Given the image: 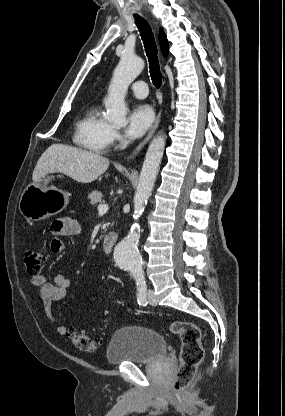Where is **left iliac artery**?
Segmentation results:
<instances>
[{"mask_svg": "<svg viewBox=\"0 0 285 416\" xmlns=\"http://www.w3.org/2000/svg\"><path fill=\"white\" fill-rule=\"evenodd\" d=\"M137 284V301L138 304L141 306H146L148 304L146 300L147 295V285L145 281V277L142 274L134 275Z\"/></svg>", "mask_w": 285, "mask_h": 416, "instance_id": "obj_1", "label": "left iliac artery"}]
</instances>
